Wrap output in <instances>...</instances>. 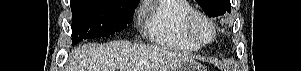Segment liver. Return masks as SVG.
Returning a JSON list of instances; mask_svg holds the SVG:
<instances>
[{"label":"liver","instance_id":"liver-1","mask_svg":"<svg viewBox=\"0 0 301 71\" xmlns=\"http://www.w3.org/2000/svg\"><path fill=\"white\" fill-rule=\"evenodd\" d=\"M187 55L155 46L114 41L79 45L71 53L69 71H174Z\"/></svg>","mask_w":301,"mask_h":71}]
</instances>
